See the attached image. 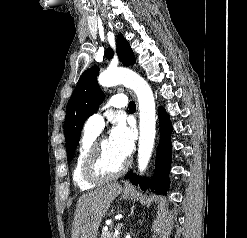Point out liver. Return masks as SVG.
I'll return each instance as SVG.
<instances>
[{
  "mask_svg": "<svg viewBox=\"0 0 247 238\" xmlns=\"http://www.w3.org/2000/svg\"><path fill=\"white\" fill-rule=\"evenodd\" d=\"M121 191L120 184L112 183L83 194L76 205L72 238H96L103 217Z\"/></svg>",
  "mask_w": 247,
  "mask_h": 238,
  "instance_id": "liver-1",
  "label": "liver"
}]
</instances>
